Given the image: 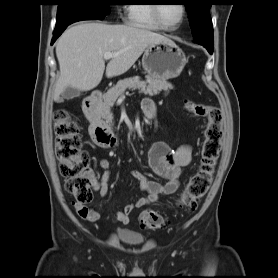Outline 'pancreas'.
<instances>
[{"label":"pancreas","mask_w":278,"mask_h":278,"mask_svg":"<svg viewBox=\"0 0 278 278\" xmlns=\"http://www.w3.org/2000/svg\"><path fill=\"white\" fill-rule=\"evenodd\" d=\"M146 78V81H141L137 77L120 80L114 87L109 89L103 96V103L100 108V115L102 118L107 122H112L113 114L111 113V108L114 106L118 97L124 93L127 88L139 89L141 93L149 96L157 95L162 90L168 91L169 89H173L172 84L165 79L152 76H147Z\"/></svg>","instance_id":"pancreas-1"}]
</instances>
